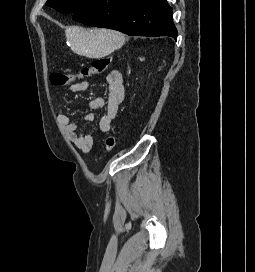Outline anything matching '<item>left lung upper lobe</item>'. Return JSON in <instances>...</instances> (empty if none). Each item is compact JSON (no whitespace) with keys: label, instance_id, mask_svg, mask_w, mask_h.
I'll return each instance as SVG.
<instances>
[{"label":"left lung upper lobe","instance_id":"obj_1","mask_svg":"<svg viewBox=\"0 0 255 272\" xmlns=\"http://www.w3.org/2000/svg\"><path fill=\"white\" fill-rule=\"evenodd\" d=\"M92 0H48L47 6H50L60 13H74L86 6Z\"/></svg>","mask_w":255,"mask_h":272}]
</instances>
